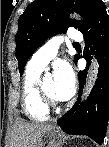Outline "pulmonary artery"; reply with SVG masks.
<instances>
[{
	"label": "pulmonary artery",
	"mask_w": 109,
	"mask_h": 147,
	"mask_svg": "<svg viewBox=\"0 0 109 147\" xmlns=\"http://www.w3.org/2000/svg\"><path fill=\"white\" fill-rule=\"evenodd\" d=\"M63 35L51 38L44 46L39 48L30 58L28 65L38 70H43L49 62L57 55L60 44L63 42ZM66 38L78 44L83 40L80 32L68 33Z\"/></svg>",
	"instance_id": "obj_1"
}]
</instances>
